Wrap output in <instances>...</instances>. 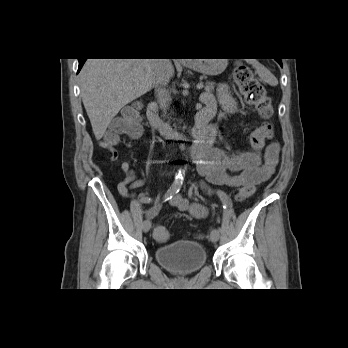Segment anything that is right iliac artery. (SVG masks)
<instances>
[{"label": "right iliac artery", "mask_w": 348, "mask_h": 348, "mask_svg": "<svg viewBox=\"0 0 348 348\" xmlns=\"http://www.w3.org/2000/svg\"><path fill=\"white\" fill-rule=\"evenodd\" d=\"M182 180H183V175L180 172L176 176L175 181L173 182L171 187L166 192V194L164 196L165 201L168 200V199H171L173 195H175L176 193L179 192V190L181 188V185H182ZM149 201H155V196L144 195L143 199L138 200V203L146 204V202H149Z\"/></svg>", "instance_id": "82829eb1"}]
</instances>
